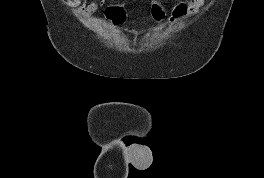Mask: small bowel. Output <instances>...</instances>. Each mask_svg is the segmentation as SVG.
<instances>
[{"mask_svg":"<svg viewBox=\"0 0 264 178\" xmlns=\"http://www.w3.org/2000/svg\"><path fill=\"white\" fill-rule=\"evenodd\" d=\"M205 0H179L168 13L166 20L173 25L183 19L193 16ZM74 4L86 14L91 15L99 8L106 9L107 0H74Z\"/></svg>","mask_w":264,"mask_h":178,"instance_id":"c3829d8e","label":"small bowel"}]
</instances>
